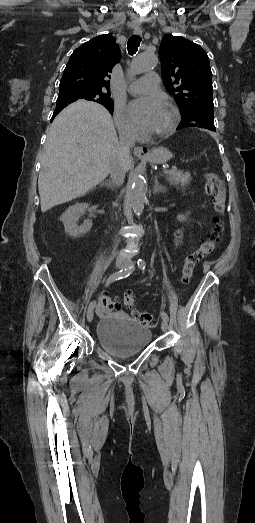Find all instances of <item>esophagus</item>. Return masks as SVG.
Listing matches in <instances>:
<instances>
[{
    "instance_id": "obj_1",
    "label": "esophagus",
    "mask_w": 255,
    "mask_h": 523,
    "mask_svg": "<svg viewBox=\"0 0 255 523\" xmlns=\"http://www.w3.org/2000/svg\"><path fill=\"white\" fill-rule=\"evenodd\" d=\"M134 33H135V35H142V29L141 28H135L134 29ZM134 153L138 157L145 158L146 156L149 155V148L146 147V146L135 147L134 148Z\"/></svg>"
}]
</instances>
